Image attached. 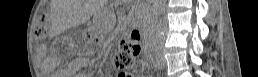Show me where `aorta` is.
Masks as SVG:
<instances>
[{
	"label": "aorta",
	"instance_id": "aorta-1",
	"mask_svg": "<svg viewBox=\"0 0 258 77\" xmlns=\"http://www.w3.org/2000/svg\"><path fill=\"white\" fill-rule=\"evenodd\" d=\"M163 8H164V0H154L151 13H150L152 22H155L156 19L161 15Z\"/></svg>",
	"mask_w": 258,
	"mask_h": 77
}]
</instances>
